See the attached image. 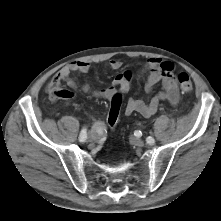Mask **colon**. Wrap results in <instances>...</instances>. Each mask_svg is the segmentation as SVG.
Segmentation results:
<instances>
[{"mask_svg": "<svg viewBox=\"0 0 221 221\" xmlns=\"http://www.w3.org/2000/svg\"><path fill=\"white\" fill-rule=\"evenodd\" d=\"M130 77V74L127 75ZM178 81L181 91L183 93H191L193 90V83L188 74L182 72L178 75ZM47 92L52 101H58L63 99H70L73 97V93L60 86L58 81L53 80L47 87ZM124 91L117 90L111 97V105L108 112L107 123L110 129H114L120 114L121 105L124 99Z\"/></svg>", "mask_w": 221, "mask_h": 221, "instance_id": "5ec220e1", "label": "colon"}]
</instances>
